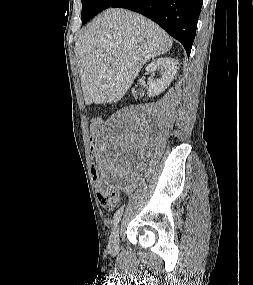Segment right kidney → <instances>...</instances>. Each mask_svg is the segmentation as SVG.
<instances>
[{
  "label": "right kidney",
  "mask_w": 253,
  "mask_h": 285,
  "mask_svg": "<svg viewBox=\"0 0 253 285\" xmlns=\"http://www.w3.org/2000/svg\"><path fill=\"white\" fill-rule=\"evenodd\" d=\"M178 69V61L171 57H161L148 64L146 73L152 74L155 70H160L161 77L156 80L149 78L147 95L154 97L165 91L174 79Z\"/></svg>",
  "instance_id": "ca27d5eb"
}]
</instances>
